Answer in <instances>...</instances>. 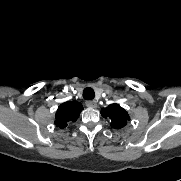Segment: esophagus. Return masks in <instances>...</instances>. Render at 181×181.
Returning <instances> with one entry per match:
<instances>
[{
  "label": "esophagus",
  "instance_id": "obj_1",
  "mask_svg": "<svg viewBox=\"0 0 181 181\" xmlns=\"http://www.w3.org/2000/svg\"><path fill=\"white\" fill-rule=\"evenodd\" d=\"M86 106L89 107V108H96L97 103L94 100H89V101H86Z\"/></svg>",
  "mask_w": 181,
  "mask_h": 181
}]
</instances>
